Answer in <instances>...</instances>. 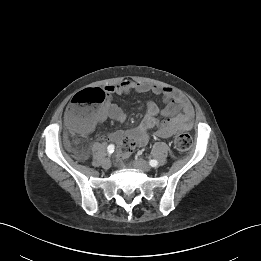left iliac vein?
Instances as JSON below:
<instances>
[{"instance_id": "1", "label": "left iliac vein", "mask_w": 261, "mask_h": 261, "mask_svg": "<svg viewBox=\"0 0 261 261\" xmlns=\"http://www.w3.org/2000/svg\"><path fill=\"white\" fill-rule=\"evenodd\" d=\"M132 163L136 168L144 172H149L152 169L151 166L143 159H135Z\"/></svg>"}]
</instances>
